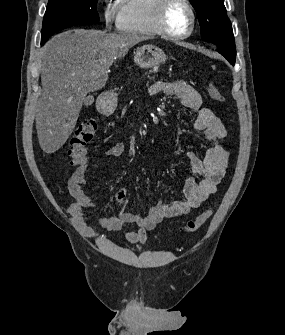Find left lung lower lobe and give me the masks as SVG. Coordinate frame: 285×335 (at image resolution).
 I'll return each mask as SVG.
<instances>
[{
    "mask_svg": "<svg viewBox=\"0 0 285 335\" xmlns=\"http://www.w3.org/2000/svg\"><path fill=\"white\" fill-rule=\"evenodd\" d=\"M216 50L220 53V49L219 48H217L216 47ZM224 54L226 55V56H228L229 57V62L231 63V64H235V58H236V50H234V51H232L231 53H225L224 52Z\"/></svg>",
    "mask_w": 285,
    "mask_h": 335,
    "instance_id": "left-lung-lower-lobe-1",
    "label": "left lung lower lobe"
}]
</instances>
